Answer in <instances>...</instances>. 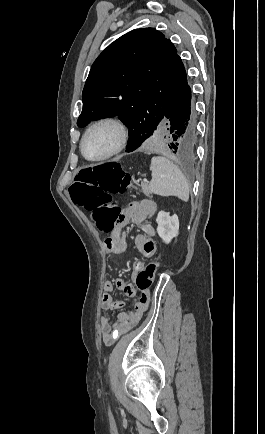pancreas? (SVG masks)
I'll list each match as a JSON object with an SVG mask.
<instances>
[{
	"mask_svg": "<svg viewBox=\"0 0 265 434\" xmlns=\"http://www.w3.org/2000/svg\"><path fill=\"white\" fill-rule=\"evenodd\" d=\"M141 188L143 190V194H145V196H148V198H152V192L149 188V184H147V182H143V184H141Z\"/></svg>",
	"mask_w": 265,
	"mask_h": 434,
	"instance_id": "obj_1",
	"label": "pancreas"
}]
</instances>
